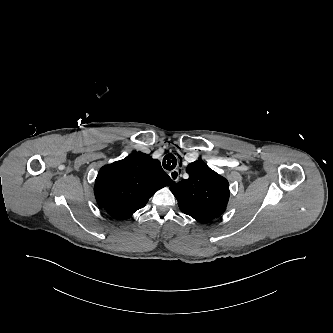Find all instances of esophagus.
Masks as SVG:
<instances>
[{
	"label": "esophagus",
	"mask_w": 333,
	"mask_h": 333,
	"mask_svg": "<svg viewBox=\"0 0 333 333\" xmlns=\"http://www.w3.org/2000/svg\"><path fill=\"white\" fill-rule=\"evenodd\" d=\"M169 176L171 178V180L173 181V183H176L180 180L181 178V173L179 171V169L173 170L169 173Z\"/></svg>",
	"instance_id": "esophagus-1"
}]
</instances>
